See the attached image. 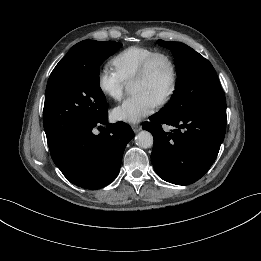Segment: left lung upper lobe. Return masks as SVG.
<instances>
[{
	"label": "left lung upper lobe",
	"instance_id": "5c2ea615",
	"mask_svg": "<svg viewBox=\"0 0 261 261\" xmlns=\"http://www.w3.org/2000/svg\"><path fill=\"white\" fill-rule=\"evenodd\" d=\"M158 44L172 51L177 68L174 94L161 112L180 116L206 107L226 105L217 74L207 59L180 42L158 40Z\"/></svg>",
	"mask_w": 261,
	"mask_h": 261
}]
</instances>
